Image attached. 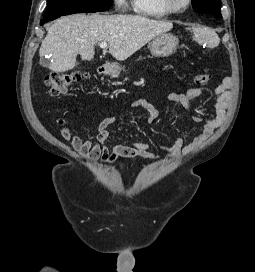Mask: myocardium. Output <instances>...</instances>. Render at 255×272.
<instances>
[{
    "mask_svg": "<svg viewBox=\"0 0 255 272\" xmlns=\"http://www.w3.org/2000/svg\"><path fill=\"white\" fill-rule=\"evenodd\" d=\"M163 7L171 14H180L185 12L191 5V0H186L183 6H176L173 0H161Z\"/></svg>",
    "mask_w": 255,
    "mask_h": 272,
    "instance_id": "1",
    "label": "myocardium"
}]
</instances>
